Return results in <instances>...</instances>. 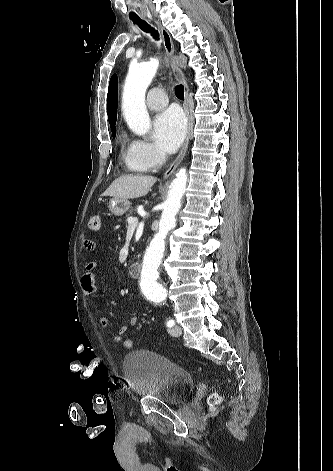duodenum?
<instances>
[{
    "instance_id": "410a0bca",
    "label": "duodenum",
    "mask_w": 333,
    "mask_h": 471,
    "mask_svg": "<svg viewBox=\"0 0 333 471\" xmlns=\"http://www.w3.org/2000/svg\"><path fill=\"white\" fill-rule=\"evenodd\" d=\"M140 272H141V263L134 262L129 265L128 273L130 274V276L138 277L140 275Z\"/></svg>"
}]
</instances>
